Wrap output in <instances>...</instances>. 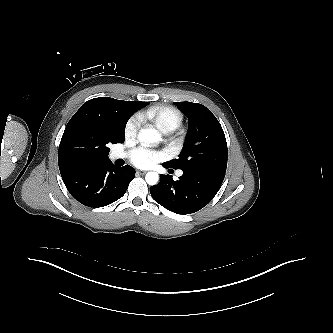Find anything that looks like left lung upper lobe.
<instances>
[{
  "mask_svg": "<svg viewBox=\"0 0 333 333\" xmlns=\"http://www.w3.org/2000/svg\"><path fill=\"white\" fill-rule=\"evenodd\" d=\"M175 104L189 117L191 128L179 158L163 165L182 171L211 170L225 173L227 142L216 117L199 103L176 102Z\"/></svg>",
  "mask_w": 333,
  "mask_h": 333,
  "instance_id": "1",
  "label": "left lung upper lobe"
}]
</instances>
